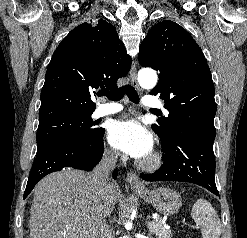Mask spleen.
<instances>
[{
    "instance_id": "3e777b00",
    "label": "spleen",
    "mask_w": 247,
    "mask_h": 238,
    "mask_svg": "<svg viewBox=\"0 0 247 238\" xmlns=\"http://www.w3.org/2000/svg\"><path fill=\"white\" fill-rule=\"evenodd\" d=\"M192 219L201 228L203 238H219L221 223L214 208L205 199H198L192 207Z\"/></svg>"
}]
</instances>
